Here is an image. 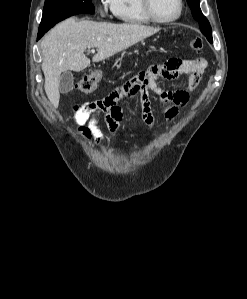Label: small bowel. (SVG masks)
I'll use <instances>...</instances> for the list:
<instances>
[{
    "instance_id": "obj_1",
    "label": "small bowel",
    "mask_w": 247,
    "mask_h": 299,
    "mask_svg": "<svg viewBox=\"0 0 247 299\" xmlns=\"http://www.w3.org/2000/svg\"><path fill=\"white\" fill-rule=\"evenodd\" d=\"M205 67L206 62L203 58L170 59L163 65L151 66L145 72L137 74L101 100L74 106L73 119L78 133L85 139L103 144L104 135L98 126V121L102 117L109 131L114 136L118 135L122 121L119 104L133 97L139 100L144 123L152 127L155 124V115L151 94L158 96L164 116L168 122H172L177 117L179 108L189 102L190 92L199 85ZM180 75L188 78L187 90H167L159 85L160 79L174 80Z\"/></svg>"
}]
</instances>
